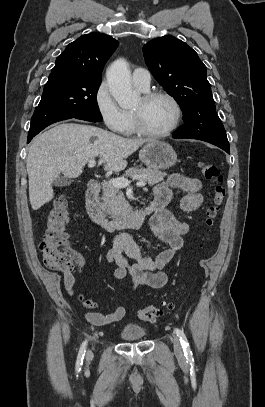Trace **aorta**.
Masks as SVG:
<instances>
[{
  "instance_id": "762f6f07",
  "label": "aorta",
  "mask_w": 265,
  "mask_h": 407,
  "mask_svg": "<svg viewBox=\"0 0 265 407\" xmlns=\"http://www.w3.org/2000/svg\"><path fill=\"white\" fill-rule=\"evenodd\" d=\"M109 90L118 105L122 108L134 106L139 100V93L131 86V73L127 61L115 60L106 71Z\"/></svg>"
}]
</instances>
